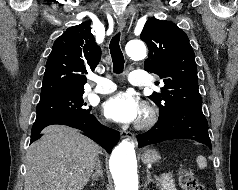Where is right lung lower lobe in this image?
<instances>
[{
  "label": "right lung lower lobe",
  "instance_id": "98d812e1",
  "mask_svg": "<svg viewBox=\"0 0 238 190\" xmlns=\"http://www.w3.org/2000/svg\"><path fill=\"white\" fill-rule=\"evenodd\" d=\"M55 124L67 125L86 132L88 137L105 148L109 153L120 137L118 131L101 125L94 115L85 114L36 120L32 126L30 143L41 137L40 132L44 127Z\"/></svg>",
  "mask_w": 238,
  "mask_h": 190
}]
</instances>
